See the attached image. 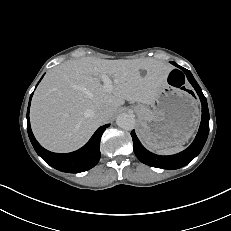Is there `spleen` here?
Returning <instances> with one entry per match:
<instances>
[{
	"label": "spleen",
	"instance_id": "3e777b00",
	"mask_svg": "<svg viewBox=\"0 0 231 231\" xmlns=\"http://www.w3.org/2000/svg\"><path fill=\"white\" fill-rule=\"evenodd\" d=\"M183 149H184L183 146L176 145L174 147H168V148L157 150V153L160 155H171V154L178 153V152L182 151Z\"/></svg>",
	"mask_w": 231,
	"mask_h": 231
}]
</instances>
